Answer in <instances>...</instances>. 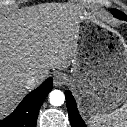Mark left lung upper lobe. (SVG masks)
I'll list each match as a JSON object with an SVG mask.
<instances>
[{
    "label": "left lung upper lobe",
    "mask_w": 127,
    "mask_h": 127,
    "mask_svg": "<svg viewBox=\"0 0 127 127\" xmlns=\"http://www.w3.org/2000/svg\"><path fill=\"white\" fill-rule=\"evenodd\" d=\"M111 13H112L116 18L122 19V20H126V21H127V16H126L123 12H121V11H119V10H117V9H112V10H111Z\"/></svg>",
    "instance_id": "left-lung-upper-lobe-1"
}]
</instances>
